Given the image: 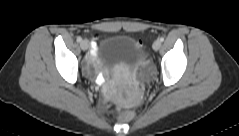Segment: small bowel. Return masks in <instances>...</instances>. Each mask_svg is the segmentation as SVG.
Returning a JSON list of instances; mask_svg holds the SVG:
<instances>
[{"label":"small bowel","mask_w":239,"mask_h":136,"mask_svg":"<svg viewBox=\"0 0 239 136\" xmlns=\"http://www.w3.org/2000/svg\"><path fill=\"white\" fill-rule=\"evenodd\" d=\"M94 40H97V37H95ZM94 44H95V43H94ZM95 56H96V53H95L94 51L91 52V55H90V57H89V59H88V64H90V63H92V62L94 61Z\"/></svg>","instance_id":"1"}]
</instances>
